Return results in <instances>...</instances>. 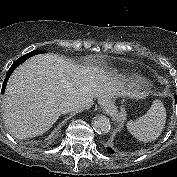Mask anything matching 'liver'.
<instances>
[{"label": "liver", "instance_id": "6515ba94", "mask_svg": "<svg viewBox=\"0 0 177 177\" xmlns=\"http://www.w3.org/2000/svg\"><path fill=\"white\" fill-rule=\"evenodd\" d=\"M127 92L114 78L92 66H79L62 56H33L11 75L3 100V119L18 139L32 138L49 130L61 115L60 104L78 100L79 110Z\"/></svg>", "mask_w": 177, "mask_h": 177}]
</instances>
